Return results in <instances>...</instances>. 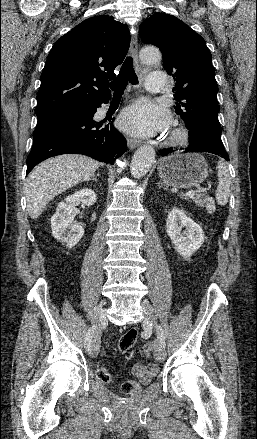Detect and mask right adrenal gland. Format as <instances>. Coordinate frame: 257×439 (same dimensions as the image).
I'll return each instance as SVG.
<instances>
[{"mask_svg":"<svg viewBox=\"0 0 257 439\" xmlns=\"http://www.w3.org/2000/svg\"><path fill=\"white\" fill-rule=\"evenodd\" d=\"M97 176H99V174H97ZM89 181H95L97 183V179H96L95 175Z\"/></svg>","mask_w":257,"mask_h":439,"instance_id":"right-adrenal-gland-1","label":"right adrenal gland"}]
</instances>
